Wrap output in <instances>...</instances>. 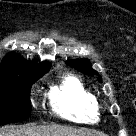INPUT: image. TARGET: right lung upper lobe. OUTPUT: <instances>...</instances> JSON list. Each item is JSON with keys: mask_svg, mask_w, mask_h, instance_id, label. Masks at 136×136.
Returning <instances> with one entry per match:
<instances>
[{"mask_svg": "<svg viewBox=\"0 0 136 136\" xmlns=\"http://www.w3.org/2000/svg\"><path fill=\"white\" fill-rule=\"evenodd\" d=\"M51 64L42 62L36 64L26 61L23 57L15 53H8L0 65V79H8L17 76L37 77L48 71Z\"/></svg>", "mask_w": 136, "mask_h": 136, "instance_id": "obj_1", "label": "right lung upper lobe"}]
</instances>
